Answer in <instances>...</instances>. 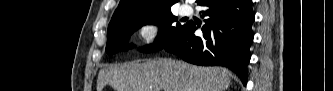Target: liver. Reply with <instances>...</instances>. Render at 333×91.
Wrapping results in <instances>:
<instances>
[{
  "mask_svg": "<svg viewBox=\"0 0 333 91\" xmlns=\"http://www.w3.org/2000/svg\"><path fill=\"white\" fill-rule=\"evenodd\" d=\"M231 73L222 67H202L161 58L129 62L99 71L97 91L109 84L116 91H225Z\"/></svg>",
  "mask_w": 333,
  "mask_h": 91,
  "instance_id": "1",
  "label": "liver"
}]
</instances>
